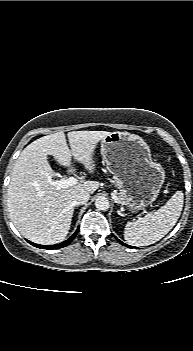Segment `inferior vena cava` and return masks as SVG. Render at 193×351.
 Here are the masks:
<instances>
[{"instance_id":"602c4592","label":"inferior vena cava","mask_w":193,"mask_h":351,"mask_svg":"<svg viewBox=\"0 0 193 351\" xmlns=\"http://www.w3.org/2000/svg\"><path fill=\"white\" fill-rule=\"evenodd\" d=\"M90 198V194L87 191H81L75 196L74 203L75 205H83Z\"/></svg>"}]
</instances>
